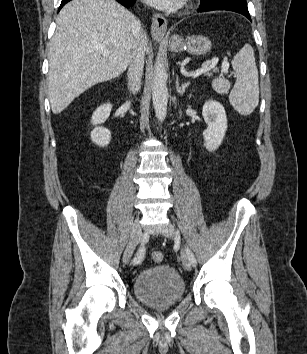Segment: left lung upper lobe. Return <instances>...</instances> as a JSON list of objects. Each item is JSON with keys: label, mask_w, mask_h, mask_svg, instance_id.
Segmentation results:
<instances>
[{"label": "left lung upper lobe", "mask_w": 307, "mask_h": 354, "mask_svg": "<svg viewBox=\"0 0 307 354\" xmlns=\"http://www.w3.org/2000/svg\"><path fill=\"white\" fill-rule=\"evenodd\" d=\"M211 1H227V0H201L202 3L211 2Z\"/></svg>", "instance_id": "5c2ea615"}]
</instances>
